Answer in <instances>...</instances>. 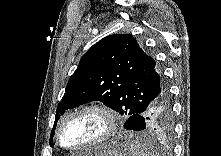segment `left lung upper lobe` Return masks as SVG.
Here are the masks:
<instances>
[{
    "instance_id": "left-lung-upper-lobe-1",
    "label": "left lung upper lobe",
    "mask_w": 221,
    "mask_h": 156,
    "mask_svg": "<svg viewBox=\"0 0 221 156\" xmlns=\"http://www.w3.org/2000/svg\"><path fill=\"white\" fill-rule=\"evenodd\" d=\"M163 78L156 61L132 35H109L82 56L58 104L56 118L91 101H101L130 117L156 98Z\"/></svg>"
}]
</instances>
